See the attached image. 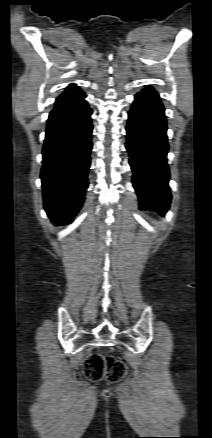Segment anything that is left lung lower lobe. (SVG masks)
<instances>
[{
  "mask_svg": "<svg viewBox=\"0 0 212 438\" xmlns=\"http://www.w3.org/2000/svg\"><path fill=\"white\" fill-rule=\"evenodd\" d=\"M126 148L133 170V186L141 209L165 214L170 206L168 186L167 125L164 107L158 93L151 87L135 96L128 112Z\"/></svg>",
  "mask_w": 212,
  "mask_h": 438,
  "instance_id": "1",
  "label": "left lung lower lobe"
}]
</instances>
